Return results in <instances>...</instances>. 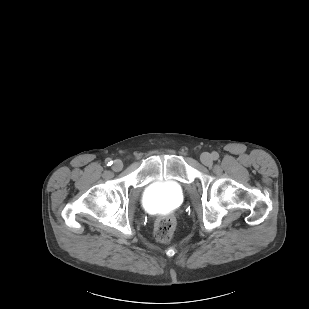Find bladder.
I'll list each match as a JSON object with an SVG mask.
<instances>
[{
    "mask_svg": "<svg viewBox=\"0 0 309 309\" xmlns=\"http://www.w3.org/2000/svg\"><path fill=\"white\" fill-rule=\"evenodd\" d=\"M183 200L184 190L173 180L152 182L144 189L141 196L142 205L151 212L176 209Z\"/></svg>",
    "mask_w": 309,
    "mask_h": 309,
    "instance_id": "31cf9c89",
    "label": "bladder"
}]
</instances>
